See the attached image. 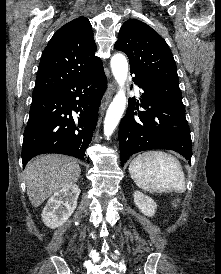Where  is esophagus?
<instances>
[{"instance_id":"1","label":"esophagus","mask_w":221,"mask_h":274,"mask_svg":"<svg viewBox=\"0 0 221 274\" xmlns=\"http://www.w3.org/2000/svg\"><path fill=\"white\" fill-rule=\"evenodd\" d=\"M115 89H116L115 84L114 83H110L109 86H108V90L106 92V95H105V104L109 103V101L111 100L112 95H113Z\"/></svg>"}]
</instances>
